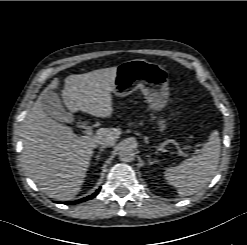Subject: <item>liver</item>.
<instances>
[{
  "mask_svg": "<svg viewBox=\"0 0 247 245\" xmlns=\"http://www.w3.org/2000/svg\"><path fill=\"white\" fill-rule=\"evenodd\" d=\"M117 67L73 74L65 78L61 95L70 112L83 111L92 116L110 118L112 92ZM59 88L54 78L43 91ZM22 123V161L30 178L47 196L68 201L80 192L93 149L100 141L119 139V128H100L94 136H77L71 127L50 118L41 107L42 94Z\"/></svg>",
  "mask_w": 247,
  "mask_h": 245,
  "instance_id": "6515ba94",
  "label": "liver"
}]
</instances>
